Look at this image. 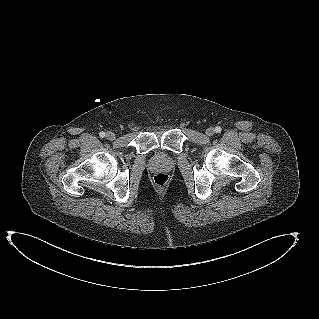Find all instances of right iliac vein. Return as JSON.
Masks as SVG:
<instances>
[{
  "instance_id": "1",
  "label": "right iliac vein",
  "mask_w": 319,
  "mask_h": 319,
  "mask_svg": "<svg viewBox=\"0 0 319 319\" xmlns=\"http://www.w3.org/2000/svg\"><path fill=\"white\" fill-rule=\"evenodd\" d=\"M106 138L108 139V140H114L115 139V134L113 133V132H111V131H109V132H107V134H106Z\"/></svg>"
}]
</instances>
